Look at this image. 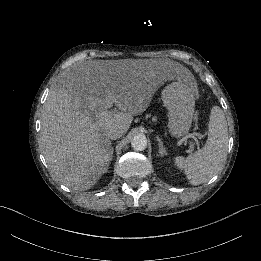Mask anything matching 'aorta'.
I'll use <instances>...</instances> for the list:
<instances>
[{
	"mask_svg": "<svg viewBox=\"0 0 261 261\" xmlns=\"http://www.w3.org/2000/svg\"><path fill=\"white\" fill-rule=\"evenodd\" d=\"M131 147L135 151H144L147 147V139L144 135L134 136L131 140Z\"/></svg>",
	"mask_w": 261,
	"mask_h": 261,
	"instance_id": "obj_1",
	"label": "aorta"
}]
</instances>
